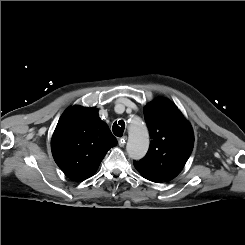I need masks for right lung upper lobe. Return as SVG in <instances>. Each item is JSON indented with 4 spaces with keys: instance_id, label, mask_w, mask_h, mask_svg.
<instances>
[{
    "instance_id": "obj_1",
    "label": "right lung upper lobe",
    "mask_w": 245,
    "mask_h": 245,
    "mask_svg": "<svg viewBox=\"0 0 245 245\" xmlns=\"http://www.w3.org/2000/svg\"><path fill=\"white\" fill-rule=\"evenodd\" d=\"M117 140L98 117L96 108L73 106L60 117L52 136L55 162L67 177L81 181L92 176Z\"/></svg>"
}]
</instances>
